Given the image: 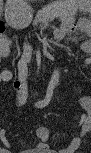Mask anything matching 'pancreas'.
I'll use <instances>...</instances> for the list:
<instances>
[{
    "mask_svg": "<svg viewBox=\"0 0 91 153\" xmlns=\"http://www.w3.org/2000/svg\"><path fill=\"white\" fill-rule=\"evenodd\" d=\"M56 13L60 14V17L66 24H72L75 21L73 13L67 11L56 3H53L38 11L36 19L34 20V24L43 21L45 17H53L56 15Z\"/></svg>",
    "mask_w": 91,
    "mask_h": 153,
    "instance_id": "pancreas-1",
    "label": "pancreas"
}]
</instances>
